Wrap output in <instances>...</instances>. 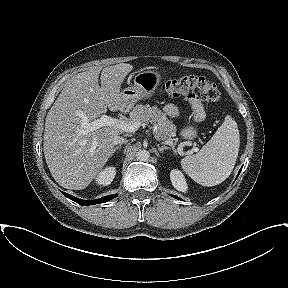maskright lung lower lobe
<instances>
[{
    "instance_id": "obj_1",
    "label": "right lung lower lobe",
    "mask_w": 288,
    "mask_h": 288,
    "mask_svg": "<svg viewBox=\"0 0 288 288\" xmlns=\"http://www.w3.org/2000/svg\"><path fill=\"white\" fill-rule=\"evenodd\" d=\"M62 193L64 194V196L75 201L76 203H78L80 205H93V204L104 203V202H107V201H109V200H111L117 196V194H113V195H108V196L102 197L100 199L86 201V200L78 199V198H76L70 194L65 193V192H62Z\"/></svg>"
}]
</instances>
